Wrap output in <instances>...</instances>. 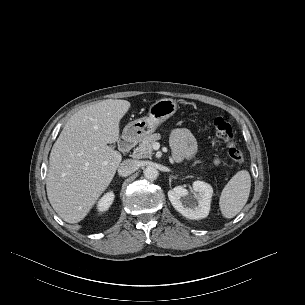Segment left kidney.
Segmentation results:
<instances>
[{
    "label": "left kidney",
    "mask_w": 305,
    "mask_h": 305,
    "mask_svg": "<svg viewBox=\"0 0 305 305\" xmlns=\"http://www.w3.org/2000/svg\"><path fill=\"white\" fill-rule=\"evenodd\" d=\"M212 195V187L203 181H195L191 192L183 186L168 191V198L175 210L192 220L208 216Z\"/></svg>",
    "instance_id": "5707ae66"
}]
</instances>
